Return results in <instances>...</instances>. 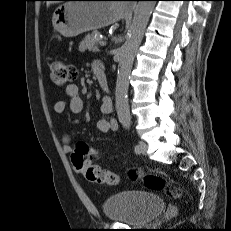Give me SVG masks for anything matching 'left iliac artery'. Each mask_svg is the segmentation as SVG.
<instances>
[{
	"instance_id": "obj_1",
	"label": "left iliac artery",
	"mask_w": 231,
	"mask_h": 231,
	"mask_svg": "<svg viewBox=\"0 0 231 231\" xmlns=\"http://www.w3.org/2000/svg\"><path fill=\"white\" fill-rule=\"evenodd\" d=\"M122 124H123V126H124L126 129H129L130 126H131V122H130L129 120H124V121H122ZM135 152H136V153L139 152V146H138V145L135 146Z\"/></svg>"
}]
</instances>
